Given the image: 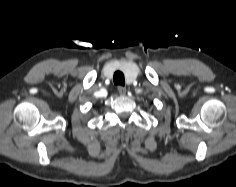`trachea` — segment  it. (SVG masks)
Segmentation results:
<instances>
[{"instance_id": "1", "label": "trachea", "mask_w": 236, "mask_h": 187, "mask_svg": "<svg viewBox=\"0 0 236 187\" xmlns=\"http://www.w3.org/2000/svg\"><path fill=\"white\" fill-rule=\"evenodd\" d=\"M113 81H114V84H116V85L124 86L125 85V79H124L123 73L120 72V71L115 72L114 76H113Z\"/></svg>"}]
</instances>
